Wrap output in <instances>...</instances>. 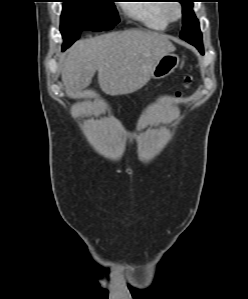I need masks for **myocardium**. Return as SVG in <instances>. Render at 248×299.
Here are the masks:
<instances>
[{"label": "myocardium", "mask_w": 248, "mask_h": 299, "mask_svg": "<svg viewBox=\"0 0 248 299\" xmlns=\"http://www.w3.org/2000/svg\"><path fill=\"white\" fill-rule=\"evenodd\" d=\"M175 10L176 14H172V11ZM163 14L164 17L168 22H176L179 21L182 18L183 12H182V5L180 3L174 2V3H166L163 6Z\"/></svg>", "instance_id": "f54148a6"}]
</instances>
